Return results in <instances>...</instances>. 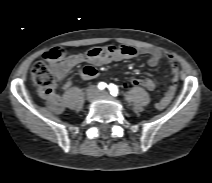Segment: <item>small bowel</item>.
Returning <instances> with one entry per match:
<instances>
[{
    "label": "small bowel",
    "instance_id": "1",
    "mask_svg": "<svg viewBox=\"0 0 212 183\" xmlns=\"http://www.w3.org/2000/svg\"><path fill=\"white\" fill-rule=\"evenodd\" d=\"M140 55H148V65L156 67L163 56H166L172 74V85L167 89L163 97L156 102L155 107L158 110H163L171 102L176 92V83L178 81V66L174 56L165 54L158 48H135L128 45L93 47L85 54H73L61 60L54 65V75L63 89L71 86V81L64 79L65 75L75 66L82 62H87L90 65L81 70V78L84 80H91L97 77L98 71L95 66L108 64L111 62L122 61L126 59L135 58ZM149 82L148 90L155 89V82L152 78H145ZM41 98L45 100L48 108L54 113H61L64 108V102L55 87H49L40 90Z\"/></svg>",
    "mask_w": 212,
    "mask_h": 183
}]
</instances>
